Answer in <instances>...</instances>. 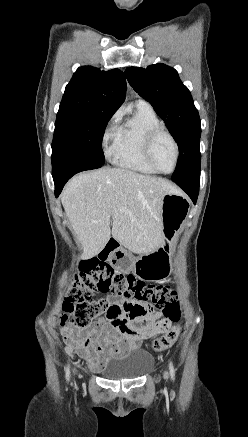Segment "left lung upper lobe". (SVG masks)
<instances>
[{
    "label": "left lung upper lobe",
    "mask_w": 248,
    "mask_h": 437,
    "mask_svg": "<svg viewBox=\"0 0 248 437\" xmlns=\"http://www.w3.org/2000/svg\"><path fill=\"white\" fill-rule=\"evenodd\" d=\"M125 76L133 89L164 120L179 147V160L172 175L174 182L200 178V117L190 91L180 81L177 71L164 64L146 69L130 67Z\"/></svg>",
    "instance_id": "obj_1"
}]
</instances>
